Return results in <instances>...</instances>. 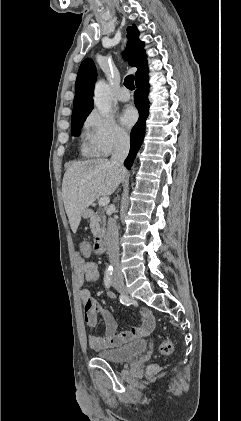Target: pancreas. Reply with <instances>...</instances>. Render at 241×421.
I'll return each instance as SVG.
<instances>
[{
  "mask_svg": "<svg viewBox=\"0 0 241 421\" xmlns=\"http://www.w3.org/2000/svg\"><path fill=\"white\" fill-rule=\"evenodd\" d=\"M105 216L99 215L97 212L90 218V228L94 236L101 235L105 232Z\"/></svg>",
  "mask_w": 241,
  "mask_h": 421,
  "instance_id": "cf45deb5",
  "label": "pancreas"
}]
</instances>
